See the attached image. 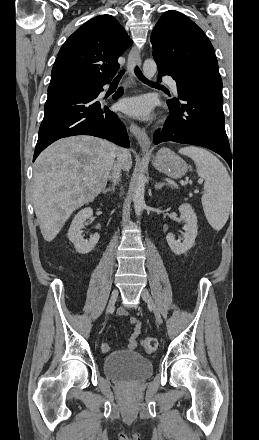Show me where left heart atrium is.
Returning a JSON list of instances; mask_svg holds the SVG:
<instances>
[{
    "label": "left heart atrium",
    "instance_id": "obj_1",
    "mask_svg": "<svg viewBox=\"0 0 259 440\" xmlns=\"http://www.w3.org/2000/svg\"><path fill=\"white\" fill-rule=\"evenodd\" d=\"M119 107L122 111L141 118H147L152 111L151 101L145 96L124 99Z\"/></svg>",
    "mask_w": 259,
    "mask_h": 440
}]
</instances>
